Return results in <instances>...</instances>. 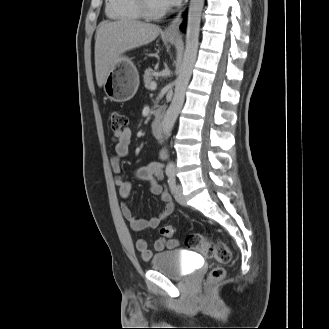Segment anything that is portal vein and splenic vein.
<instances>
[{
    "mask_svg": "<svg viewBox=\"0 0 329 329\" xmlns=\"http://www.w3.org/2000/svg\"><path fill=\"white\" fill-rule=\"evenodd\" d=\"M156 86H157L156 82L153 81V82H151L149 89L154 90V89H156Z\"/></svg>",
    "mask_w": 329,
    "mask_h": 329,
    "instance_id": "1",
    "label": "portal vein and splenic vein"
}]
</instances>
